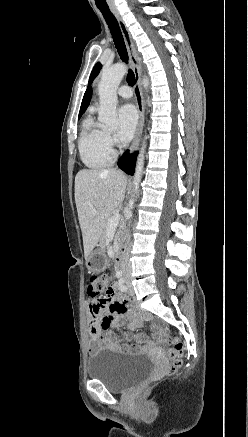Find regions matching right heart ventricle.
Returning a JSON list of instances; mask_svg holds the SVG:
<instances>
[{"mask_svg":"<svg viewBox=\"0 0 248 437\" xmlns=\"http://www.w3.org/2000/svg\"><path fill=\"white\" fill-rule=\"evenodd\" d=\"M105 132L91 116L82 122L78 147L81 160L88 168L102 169L112 161V153L105 143Z\"/></svg>","mask_w":248,"mask_h":437,"instance_id":"1","label":"right heart ventricle"}]
</instances>
